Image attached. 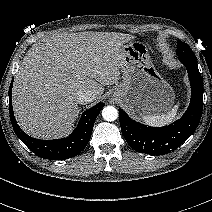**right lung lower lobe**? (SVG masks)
Listing matches in <instances>:
<instances>
[{
	"label": "right lung lower lobe",
	"mask_w": 212,
	"mask_h": 212,
	"mask_svg": "<svg viewBox=\"0 0 212 212\" xmlns=\"http://www.w3.org/2000/svg\"><path fill=\"white\" fill-rule=\"evenodd\" d=\"M12 83L13 80L9 88V113L12 127L17 137L31 151L44 159L63 160L74 157L85 149L90 140L95 119L104 107V103H98L94 107L85 111L81 116L79 124L69 137L55 140L35 139L23 132L16 122L11 100Z\"/></svg>",
	"instance_id": "1"
}]
</instances>
